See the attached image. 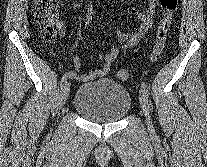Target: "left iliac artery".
Listing matches in <instances>:
<instances>
[{"label":"left iliac artery","mask_w":207,"mask_h":167,"mask_svg":"<svg viewBox=\"0 0 207 167\" xmlns=\"http://www.w3.org/2000/svg\"><path fill=\"white\" fill-rule=\"evenodd\" d=\"M141 88L144 94L148 97L149 96V89L144 81L141 83Z\"/></svg>","instance_id":"1"}]
</instances>
